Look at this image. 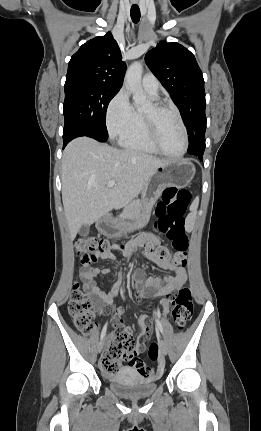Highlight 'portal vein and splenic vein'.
I'll return each mask as SVG.
<instances>
[{
    "label": "portal vein and splenic vein",
    "mask_w": 261,
    "mask_h": 431,
    "mask_svg": "<svg viewBox=\"0 0 261 431\" xmlns=\"http://www.w3.org/2000/svg\"><path fill=\"white\" fill-rule=\"evenodd\" d=\"M115 185V180H110L107 184L108 187H113Z\"/></svg>",
    "instance_id": "obj_1"
}]
</instances>
